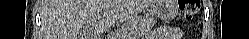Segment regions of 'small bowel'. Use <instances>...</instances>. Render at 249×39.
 Segmentation results:
<instances>
[{"mask_svg":"<svg viewBox=\"0 0 249 39\" xmlns=\"http://www.w3.org/2000/svg\"><path fill=\"white\" fill-rule=\"evenodd\" d=\"M179 32L175 27H159L154 30L150 36V39H168Z\"/></svg>","mask_w":249,"mask_h":39,"instance_id":"c3829d8e","label":"small bowel"}]
</instances>
